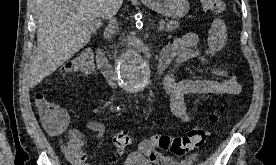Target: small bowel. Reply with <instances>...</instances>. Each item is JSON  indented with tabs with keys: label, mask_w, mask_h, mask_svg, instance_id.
<instances>
[{
	"label": "small bowel",
	"mask_w": 276,
	"mask_h": 165,
	"mask_svg": "<svg viewBox=\"0 0 276 165\" xmlns=\"http://www.w3.org/2000/svg\"><path fill=\"white\" fill-rule=\"evenodd\" d=\"M199 45V36L194 32H188L165 46L161 52V57L167 59L169 62L167 72L163 78V88L169 96L171 111L177 118L186 123L190 121V115L185 103L186 95L225 96L237 95L241 92V84L238 78L226 67L209 59L201 51ZM191 59H197L204 65L209 66L217 79H184L177 81L175 74L178 68L181 64ZM87 128L93 133L96 139L101 138L105 132V125L100 121H88ZM69 137L70 140L67 145L73 146L76 149V154L71 155L66 150L68 158L74 165H88L85 163L86 153L82 150L83 145L87 141L86 135L78 130L72 129L69 131ZM147 143L148 140H144L140 144V152L145 157L146 155L142 151V146ZM121 156L122 151L116 150L110 157L109 165H116ZM146 158L148 159V157ZM149 161L161 165L173 164L172 159L159 152H157L155 159Z\"/></svg>",
	"instance_id": "1"
}]
</instances>
